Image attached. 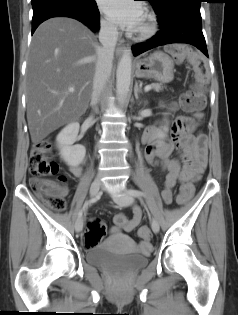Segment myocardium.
<instances>
[{"instance_id": "1", "label": "myocardium", "mask_w": 238, "mask_h": 315, "mask_svg": "<svg viewBox=\"0 0 238 315\" xmlns=\"http://www.w3.org/2000/svg\"><path fill=\"white\" fill-rule=\"evenodd\" d=\"M146 24L143 28L135 31V37L144 40L152 37L157 31V22L154 14L147 12L145 14Z\"/></svg>"}]
</instances>
